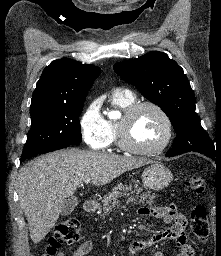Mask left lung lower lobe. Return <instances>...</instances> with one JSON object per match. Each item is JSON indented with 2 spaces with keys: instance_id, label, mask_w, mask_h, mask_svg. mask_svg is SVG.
Returning <instances> with one entry per match:
<instances>
[{
  "instance_id": "left-lung-lower-lobe-1",
  "label": "left lung lower lobe",
  "mask_w": 221,
  "mask_h": 256,
  "mask_svg": "<svg viewBox=\"0 0 221 256\" xmlns=\"http://www.w3.org/2000/svg\"><path fill=\"white\" fill-rule=\"evenodd\" d=\"M191 151L201 153L213 160H216V162L219 161L221 158L219 150H215L214 147L201 146V145H193L189 148H184V149L172 148L166 153V157H173V156L180 155L186 152H191Z\"/></svg>"
}]
</instances>
